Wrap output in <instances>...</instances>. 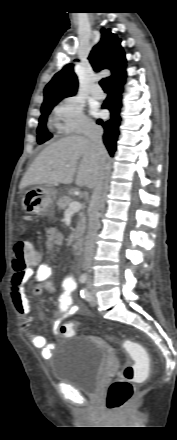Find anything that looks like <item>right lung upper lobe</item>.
Returning a JSON list of instances; mask_svg holds the SVG:
<instances>
[{"label": "right lung upper lobe", "instance_id": "1", "mask_svg": "<svg viewBox=\"0 0 177 440\" xmlns=\"http://www.w3.org/2000/svg\"><path fill=\"white\" fill-rule=\"evenodd\" d=\"M101 39L93 47L88 57L95 71L109 69L111 76L107 81L115 77L126 67L124 51L120 45L121 40L110 29H101ZM78 79L73 70V65H66L56 73L44 89V102H59L61 99L76 94Z\"/></svg>", "mask_w": 177, "mask_h": 440}]
</instances>
